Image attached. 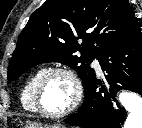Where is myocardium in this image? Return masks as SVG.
I'll return each instance as SVG.
<instances>
[{
    "label": "myocardium",
    "instance_id": "myocardium-1",
    "mask_svg": "<svg viewBox=\"0 0 142 128\" xmlns=\"http://www.w3.org/2000/svg\"><path fill=\"white\" fill-rule=\"evenodd\" d=\"M57 73L64 74L70 79L72 86H73V98H72L70 105L65 110L58 112V113H50V112L45 111L42 108L40 95H41V90H42L44 81L50 75L57 74ZM82 98H83L82 82L79 76L77 75V73L73 69L67 66H54V67L47 68L41 74V76L39 77L35 85L34 102H35L36 111L47 118L59 119V118H62V117H65L71 114L78 108V106L80 105L82 101Z\"/></svg>",
    "mask_w": 142,
    "mask_h": 128
}]
</instances>
